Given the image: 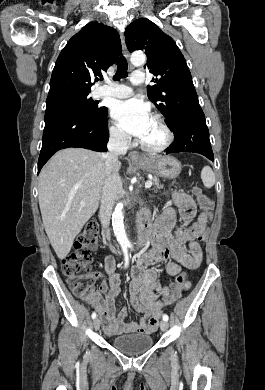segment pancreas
<instances>
[{"instance_id":"1","label":"pancreas","mask_w":265,"mask_h":390,"mask_svg":"<svg viewBox=\"0 0 265 390\" xmlns=\"http://www.w3.org/2000/svg\"><path fill=\"white\" fill-rule=\"evenodd\" d=\"M153 181H154V185H155V188L156 189H159V188H161L162 186L159 184V180H158V178H154L153 179Z\"/></svg>"}]
</instances>
